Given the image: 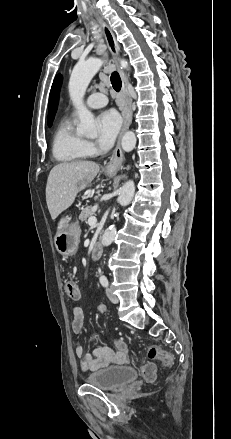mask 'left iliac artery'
<instances>
[{"instance_id": "44dca946", "label": "left iliac artery", "mask_w": 231, "mask_h": 439, "mask_svg": "<svg viewBox=\"0 0 231 439\" xmlns=\"http://www.w3.org/2000/svg\"><path fill=\"white\" fill-rule=\"evenodd\" d=\"M100 283H101L102 286L107 287L108 284H109L107 277L106 276H101L100 277Z\"/></svg>"}]
</instances>
